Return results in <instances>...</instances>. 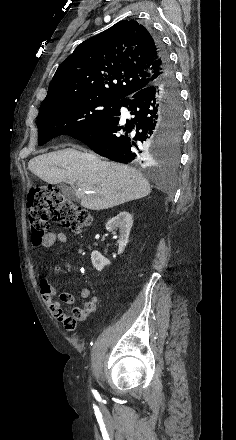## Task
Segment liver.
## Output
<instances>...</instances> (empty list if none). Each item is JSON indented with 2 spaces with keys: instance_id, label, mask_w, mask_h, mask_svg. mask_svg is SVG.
Returning a JSON list of instances; mask_svg holds the SVG:
<instances>
[{
  "instance_id": "obj_1",
  "label": "liver",
  "mask_w": 236,
  "mask_h": 440,
  "mask_svg": "<svg viewBox=\"0 0 236 440\" xmlns=\"http://www.w3.org/2000/svg\"><path fill=\"white\" fill-rule=\"evenodd\" d=\"M28 168L49 184H70L81 206L91 210L109 209L151 192L147 179L134 168L75 148L38 155Z\"/></svg>"
}]
</instances>
